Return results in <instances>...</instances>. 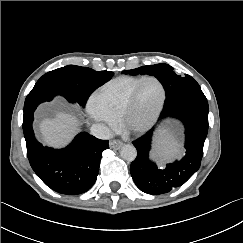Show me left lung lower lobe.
I'll use <instances>...</instances> for the list:
<instances>
[{"mask_svg":"<svg viewBox=\"0 0 243 243\" xmlns=\"http://www.w3.org/2000/svg\"><path fill=\"white\" fill-rule=\"evenodd\" d=\"M208 102L200 91L188 93L164 106L160 121L167 117L179 119L185 127L184 157L158 168L149 153L155 127L133 141L137 157L130 172L137 187L153 195L164 194L183 185L200 167L203 146L208 133Z\"/></svg>","mask_w":243,"mask_h":243,"instance_id":"obj_1","label":"left lung lower lobe"}]
</instances>
